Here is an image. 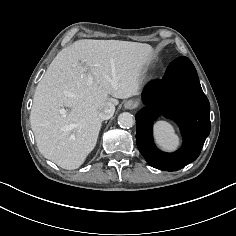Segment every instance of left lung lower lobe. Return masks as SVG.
Listing matches in <instances>:
<instances>
[{"label":"left lung lower lobe","instance_id":"0a47b994","mask_svg":"<svg viewBox=\"0 0 236 236\" xmlns=\"http://www.w3.org/2000/svg\"><path fill=\"white\" fill-rule=\"evenodd\" d=\"M142 98L146 107L135 116L136 144L147 163L176 171L196 160L210 133V104L190 59L182 56L174 60L161 80L145 87ZM160 114L173 119L181 129L184 143L174 153L161 152L153 143L152 125Z\"/></svg>","mask_w":236,"mask_h":236}]
</instances>
